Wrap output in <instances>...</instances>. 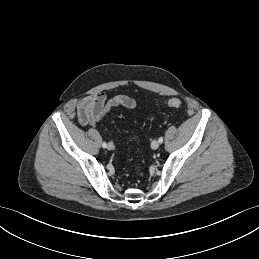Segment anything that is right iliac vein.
<instances>
[{
    "mask_svg": "<svg viewBox=\"0 0 259 259\" xmlns=\"http://www.w3.org/2000/svg\"><path fill=\"white\" fill-rule=\"evenodd\" d=\"M113 148H114L113 143L109 142L108 145H107V149L112 150Z\"/></svg>",
    "mask_w": 259,
    "mask_h": 259,
    "instance_id": "63e3f726",
    "label": "right iliac vein"
}]
</instances>
